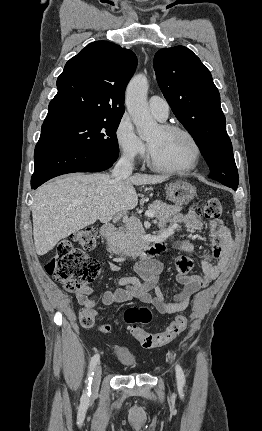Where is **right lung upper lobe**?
<instances>
[{
  "mask_svg": "<svg viewBox=\"0 0 262 431\" xmlns=\"http://www.w3.org/2000/svg\"><path fill=\"white\" fill-rule=\"evenodd\" d=\"M136 66L131 50L108 41L90 43L66 63L43 125L122 117L125 88Z\"/></svg>",
  "mask_w": 262,
  "mask_h": 431,
  "instance_id": "right-lung-upper-lobe-1",
  "label": "right lung upper lobe"
}]
</instances>
